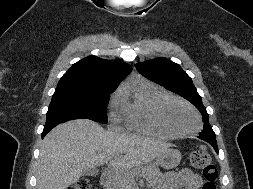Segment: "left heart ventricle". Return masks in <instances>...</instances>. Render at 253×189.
<instances>
[{
	"mask_svg": "<svg viewBox=\"0 0 253 189\" xmlns=\"http://www.w3.org/2000/svg\"><path fill=\"white\" fill-rule=\"evenodd\" d=\"M163 114L167 122L179 131L191 130L197 125L192 111L176 102H167L163 107Z\"/></svg>",
	"mask_w": 253,
	"mask_h": 189,
	"instance_id": "b2bd125f",
	"label": "left heart ventricle"
}]
</instances>
